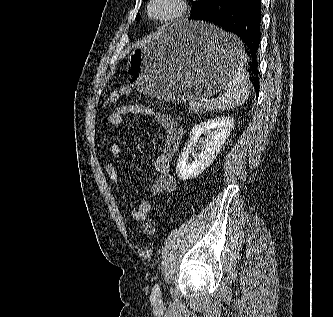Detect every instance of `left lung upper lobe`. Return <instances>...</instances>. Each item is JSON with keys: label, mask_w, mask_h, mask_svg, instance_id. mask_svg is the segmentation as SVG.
Returning a JSON list of instances; mask_svg holds the SVG:
<instances>
[{"label": "left lung upper lobe", "mask_w": 333, "mask_h": 317, "mask_svg": "<svg viewBox=\"0 0 333 317\" xmlns=\"http://www.w3.org/2000/svg\"><path fill=\"white\" fill-rule=\"evenodd\" d=\"M192 3V9H191V14H193L203 10L205 7H207L212 0H189ZM137 20H139V15L136 17Z\"/></svg>", "instance_id": "5c2ea615"}]
</instances>
